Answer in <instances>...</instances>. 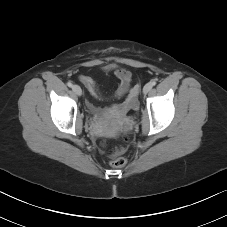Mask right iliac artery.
Returning a JSON list of instances; mask_svg holds the SVG:
<instances>
[{"instance_id": "82829eb1", "label": "right iliac artery", "mask_w": 227, "mask_h": 227, "mask_svg": "<svg viewBox=\"0 0 227 227\" xmlns=\"http://www.w3.org/2000/svg\"><path fill=\"white\" fill-rule=\"evenodd\" d=\"M67 85H68L69 87H72V86H73V84H72L71 82H68Z\"/></svg>"}]
</instances>
